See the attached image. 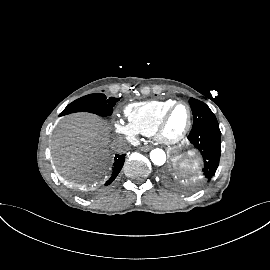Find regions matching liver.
Listing matches in <instances>:
<instances>
[{
	"label": "liver",
	"mask_w": 270,
	"mask_h": 270,
	"mask_svg": "<svg viewBox=\"0 0 270 270\" xmlns=\"http://www.w3.org/2000/svg\"><path fill=\"white\" fill-rule=\"evenodd\" d=\"M109 127L97 115L73 113L62 117L53 132L52 153L63 172L100 173L109 158Z\"/></svg>",
	"instance_id": "1"
}]
</instances>
